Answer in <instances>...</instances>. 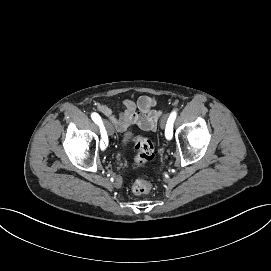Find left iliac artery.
Listing matches in <instances>:
<instances>
[{
    "instance_id": "left-iliac-artery-1",
    "label": "left iliac artery",
    "mask_w": 271,
    "mask_h": 271,
    "mask_svg": "<svg viewBox=\"0 0 271 271\" xmlns=\"http://www.w3.org/2000/svg\"><path fill=\"white\" fill-rule=\"evenodd\" d=\"M176 118V111H173L167 121V126H166V132H165V137L166 140L169 141H174V136L172 135V129H173V123Z\"/></svg>"
}]
</instances>
